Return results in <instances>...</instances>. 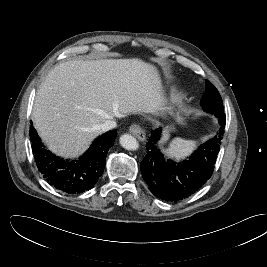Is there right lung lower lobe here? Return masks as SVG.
<instances>
[{"label": "right lung lower lobe", "instance_id": "98d812e1", "mask_svg": "<svg viewBox=\"0 0 267 267\" xmlns=\"http://www.w3.org/2000/svg\"><path fill=\"white\" fill-rule=\"evenodd\" d=\"M116 135L115 130L109 131L95 139L79 159L65 160L46 150L33 126L30 129L32 151L39 171L50 185L69 194L85 192L96 184Z\"/></svg>", "mask_w": 267, "mask_h": 267}]
</instances>
